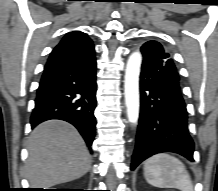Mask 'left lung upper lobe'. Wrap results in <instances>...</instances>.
Wrapping results in <instances>:
<instances>
[{
    "label": "left lung upper lobe",
    "instance_id": "1",
    "mask_svg": "<svg viewBox=\"0 0 218 191\" xmlns=\"http://www.w3.org/2000/svg\"><path fill=\"white\" fill-rule=\"evenodd\" d=\"M141 52L158 71L170 70L176 76L177 81L179 80L177 68L171 55L164 50L159 42L153 40L146 42L141 47Z\"/></svg>",
    "mask_w": 218,
    "mask_h": 191
}]
</instances>
